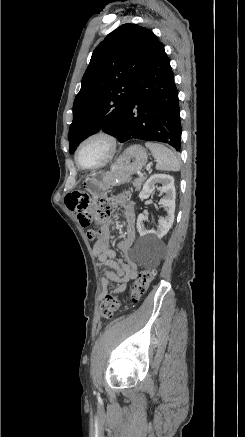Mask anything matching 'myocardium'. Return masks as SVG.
I'll use <instances>...</instances> for the list:
<instances>
[{"mask_svg": "<svg viewBox=\"0 0 245 437\" xmlns=\"http://www.w3.org/2000/svg\"><path fill=\"white\" fill-rule=\"evenodd\" d=\"M93 139H103L108 144V153L103 160L92 166H84L80 163L79 153L83 145ZM119 142L117 137L107 130H97L85 136L77 145L74 153V158L77 166L82 170H94L107 165L115 157L118 151Z\"/></svg>", "mask_w": 245, "mask_h": 437, "instance_id": "f54148a6", "label": "myocardium"}]
</instances>
